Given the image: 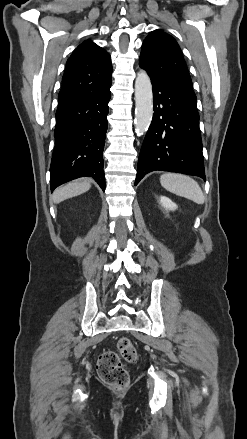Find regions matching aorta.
<instances>
[{
	"mask_svg": "<svg viewBox=\"0 0 247 439\" xmlns=\"http://www.w3.org/2000/svg\"><path fill=\"white\" fill-rule=\"evenodd\" d=\"M153 93L148 74L141 70L135 81V127L138 134L145 133L152 121Z\"/></svg>",
	"mask_w": 247,
	"mask_h": 439,
	"instance_id": "obj_1",
	"label": "aorta"
}]
</instances>
